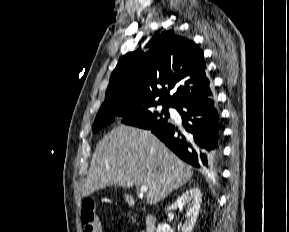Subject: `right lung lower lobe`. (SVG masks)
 Masks as SVG:
<instances>
[{
  "mask_svg": "<svg viewBox=\"0 0 289 232\" xmlns=\"http://www.w3.org/2000/svg\"><path fill=\"white\" fill-rule=\"evenodd\" d=\"M175 108L181 115L184 131L167 122L153 127L151 132L190 165L218 167L222 159V131L214 96L191 99Z\"/></svg>",
  "mask_w": 289,
  "mask_h": 232,
  "instance_id": "right-lung-lower-lobe-1",
  "label": "right lung lower lobe"
}]
</instances>
